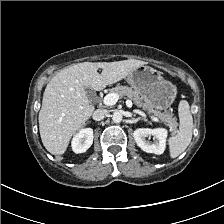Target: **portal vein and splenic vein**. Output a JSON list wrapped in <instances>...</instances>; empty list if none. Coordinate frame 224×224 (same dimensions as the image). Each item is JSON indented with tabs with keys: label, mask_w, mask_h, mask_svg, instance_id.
Segmentation results:
<instances>
[{
	"label": "portal vein and splenic vein",
	"mask_w": 224,
	"mask_h": 224,
	"mask_svg": "<svg viewBox=\"0 0 224 224\" xmlns=\"http://www.w3.org/2000/svg\"><path fill=\"white\" fill-rule=\"evenodd\" d=\"M118 99H119L118 94L109 93L104 97L103 103L107 106H112V105H115L117 103ZM126 105H127V107L131 108L132 107V101L131 100H126ZM150 118L153 121L158 122V118H156L154 116H150Z\"/></svg>",
	"instance_id": "18ae733b"
}]
</instances>
